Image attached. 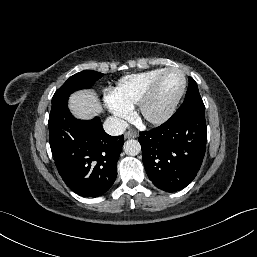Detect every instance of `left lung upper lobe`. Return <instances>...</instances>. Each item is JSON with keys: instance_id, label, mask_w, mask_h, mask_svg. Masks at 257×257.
Masks as SVG:
<instances>
[{"instance_id": "5c2ea615", "label": "left lung upper lobe", "mask_w": 257, "mask_h": 257, "mask_svg": "<svg viewBox=\"0 0 257 257\" xmlns=\"http://www.w3.org/2000/svg\"><path fill=\"white\" fill-rule=\"evenodd\" d=\"M188 111H205V106L199 94L197 83L191 77H189V86L185 95V100L177 112L183 113Z\"/></svg>"}]
</instances>
